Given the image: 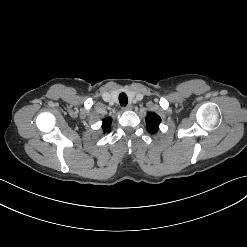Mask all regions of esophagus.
<instances>
[{"label": "esophagus", "instance_id": "34e87169", "mask_svg": "<svg viewBox=\"0 0 247 247\" xmlns=\"http://www.w3.org/2000/svg\"><path fill=\"white\" fill-rule=\"evenodd\" d=\"M131 109H132V106H131V105H127V106H123V107H122V110H123V111L131 110Z\"/></svg>", "mask_w": 247, "mask_h": 247}]
</instances>
